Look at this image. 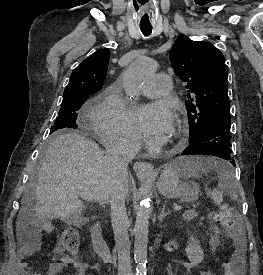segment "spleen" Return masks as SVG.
Masks as SVG:
<instances>
[{
  "label": "spleen",
  "instance_id": "3e777b00",
  "mask_svg": "<svg viewBox=\"0 0 263 275\" xmlns=\"http://www.w3.org/2000/svg\"><path fill=\"white\" fill-rule=\"evenodd\" d=\"M178 174L184 178H200L202 174L215 171L218 175V188L211 192V198L216 205L223 201L224 190H234L236 179L229 162L217 158L187 157L179 158L174 163Z\"/></svg>",
  "mask_w": 263,
  "mask_h": 275
}]
</instances>
